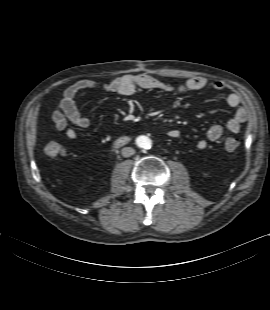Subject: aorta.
I'll return each instance as SVG.
<instances>
[{
    "instance_id": "aorta-1",
    "label": "aorta",
    "mask_w": 270,
    "mask_h": 310,
    "mask_svg": "<svg viewBox=\"0 0 270 310\" xmlns=\"http://www.w3.org/2000/svg\"><path fill=\"white\" fill-rule=\"evenodd\" d=\"M136 143L140 148L149 149L151 148L152 141L147 136H139L136 139Z\"/></svg>"
}]
</instances>
